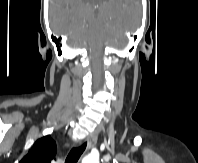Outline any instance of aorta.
Wrapping results in <instances>:
<instances>
[{"label":"aorta","instance_id":"762f6f07","mask_svg":"<svg viewBox=\"0 0 198 163\" xmlns=\"http://www.w3.org/2000/svg\"><path fill=\"white\" fill-rule=\"evenodd\" d=\"M82 163H99V157L95 155H88L83 158Z\"/></svg>","mask_w":198,"mask_h":163}]
</instances>
